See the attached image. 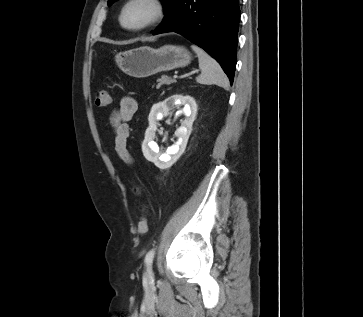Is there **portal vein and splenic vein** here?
Returning <instances> with one entry per match:
<instances>
[{"instance_id":"portal-vein-and-splenic-vein-1","label":"portal vein and splenic vein","mask_w":363,"mask_h":317,"mask_svg":"<svg viewBox=\"0 0 363 317\" xmlns=\"http://www.w3.org/2000/svg\"><path fill=\"white\" fill-rule=\"evenodd\" d=\"M192 73H198V70H195V71H193ZM173 78H174V79H177V78H178V76H177V75H174V76H173Z\"/></svg>"}]
</instances>
